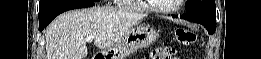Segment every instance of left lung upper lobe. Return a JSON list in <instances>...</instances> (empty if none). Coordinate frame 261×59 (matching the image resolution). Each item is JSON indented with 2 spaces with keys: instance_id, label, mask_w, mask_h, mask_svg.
Returning <instances> with one entry per match:
<instances>
[{
  "instance_id": "5c2ea615",
  "label": "left lung upper lobe",
  "mask_w": 261,
  "mask_h": 59,
  "mask_svg": "<svg viewBox=\"0 0 261 59\" xmlns=\"http://www.w3.org/2000/svg\"><path fill=\"white\" fill-rule=\"evenodd\" d=\"M186 10L188 12H196L216 16V7L214 0H187Z\"/></svg>"
}]
</instances>
